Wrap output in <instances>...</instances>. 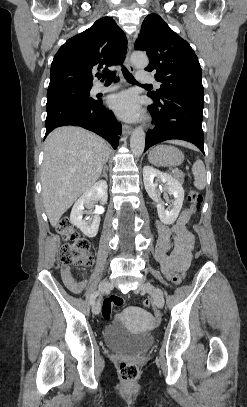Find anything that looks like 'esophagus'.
<instances>
[{
	"mask_svg": "<svg viewBox=\"0 0 247 407\" xmlns=\"http://www.w3.org/2000/svg\"><path fill=\"white\" fill-rule=\"evenodd\" d=\"M127 39H128V46H127V54H126V58H125V64H126L128 70H129L130 72H134V71H135V68H134V66L132 65L131 61H130V54H131V50H132V47H131V40H130L129 37H127ZM122 130H123V133H124V134H131V132H132V127H131L130 125L123 124Z\"/></svg>",
	"mask_w": 247,
	"mask_h": 407,
	"instance_id": "obj_1",
	"label": "esophagus"
}]
</instances>
